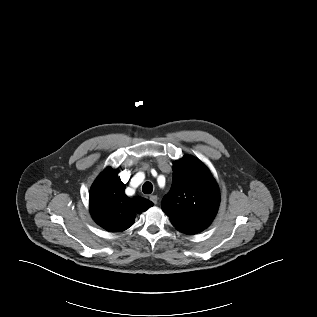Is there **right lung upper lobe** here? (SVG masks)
Instances as JSON below:
<instances>
[{"mask_svg": "<svg viewBox=\"0 0 317 317\" xmlns=\"http://www.w3.org/2000/svg\"><path fill=\"white\" fill-rule=\"evenodd\" d=\"M125 185L108 168L96 179L90 190V211L93 219L111 232L124 231L133 225L137 213L153 206L147 199L129 198L124 193Z\"/></svg>", "mask_w": 317, "mask_h": 317, "instance_id": "right-lung-upper-lobe-1", "label": "right lung upper lobe"}]
</instances>
